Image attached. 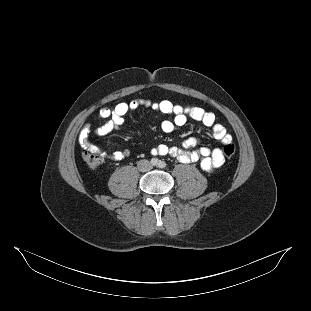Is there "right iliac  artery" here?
Returning a JSON list of instances; mask_svg holds the SVG:
<instances>
[{"label": "right iliac artery", "instance_id": "obj_1", "mask_svg": "<svg viewBox=\"0 0 311 311\" xmlns=\"http://www.w3.org/2000/svg\"><path fill=\"white\" fill-rule=\"evenodd\" d=\"M158 162H159V161H158L157 158H152V159H151V164L154 165V166L157 165Z\"/></svg>", "mask_w": 311, "mask_h": 311}]
</instances>
